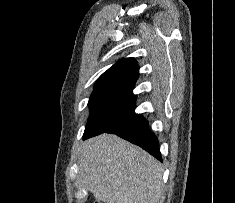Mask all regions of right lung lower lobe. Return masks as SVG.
<instances>
[{
    "label": "right lung lower lobe",
    "mask_w": 235,
    "mask_h": 203,
    "mask_svg": "<svg viewBox=\"0 0 235 203\" xmlns=\"http://www.w3.org/2000/svg\"><path fill=\"white\" fill-rule=\"evenodd\" d=\"M135 103L106 119L84 136L90 138L102 133H112L142 147L162 161L158 139L148 128V121L134 112Z\"/></svg>",
    "instance_id": "1"
}]
</instances>
